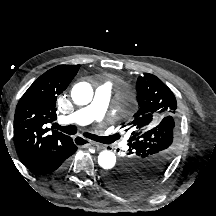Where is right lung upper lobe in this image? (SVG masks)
I'll return each instance as SVG.
<instances>
[{
  "instance_id": "obj_1",
  "label": "right lung upper lobe",
  "mask_w": 216,
  "mask_h": 216,
  "mask_svg": "<svg viewBox=\"0 0 216 216\" xmlns=\"http://www.w3.org/2000/svg\"><path fill=\"white\" fill-rule=\"evenodd\" d=\"M80 65H59L41 75L18 102L14 118V139L27 168L71 141L69 136L46 127L56 119V100L72 81Z\"/></svg>"
}]
</instances>
